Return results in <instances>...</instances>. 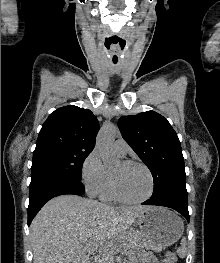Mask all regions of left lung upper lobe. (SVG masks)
<instances>
[{"label": "left lung upper lobe", "instance_id": "1", "mask_svg": "<svg viewBox=\"0 0 220 263\" xmlns=\"http://www.w3.org/2000/svg\"><path fill=\"white\" fill-rule=\"evenodd\" d=\"M122 137L152 173L151 198H171L187 203L185 166L178 136L170 123L155 111L122 116Z\"/></svg>", "mask_w": 220, "mask_h": 263}]
</instances>
